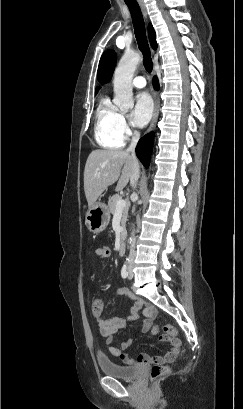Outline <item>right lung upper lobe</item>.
<instances>
[{"instance_id": "obj_1", "label": "right lung upper lobe", "mask_w": 243, "mask_h": 409, "mask_svg": "<svg viewBox=\"0 0 243 409\" xmlns=\"http://www.w3.org/2000/svg\"><path fill=\"white\" fill-rule=\"evenodd\" d=\"M148 35L150 44L153 49L157 48L155 31L151 24L148 25ZM116 64V54L113 50L106 51L99 62L97 78L100 83H107L111 80ZM100 87H96L95 94L98 93Z\"/></svg>"}]
</instances>
